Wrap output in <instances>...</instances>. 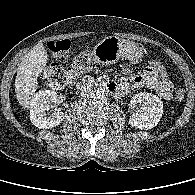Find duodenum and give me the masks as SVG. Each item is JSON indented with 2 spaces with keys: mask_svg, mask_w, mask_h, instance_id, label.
<instances>
[{
  "mask_svg": "<svg viewBox=\"0 0 195 195\" xmlns=\"http://www.w3.org/2000/svg\"><path fill=\"white\" fill-rule=\"evenodd\" d=\"M94 86H99L101 88H104L105 90H107L108 92L113 93V94H116L118 91V87L116 86V84L114 82H111V81L101 82V83L97 84L89 78H84V79L80 80L76 85L77 89L80 91L92 88Z\"/></svg>",
  "mask_w": 195,
  "mask_h": 195,
  "instance_id": "obj_1",
  "label": "duodenum"
}]
</instances>
